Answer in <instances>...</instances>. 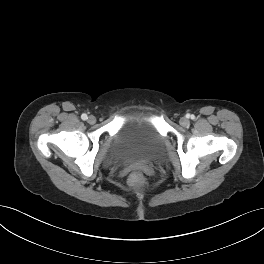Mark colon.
<instances>
[{"label":"colon","mask_w":264,"mask_h":264,"mask_svg":"<svg viewBox=\"0 0 264 264\" xmlns=\"http://www.w3.org/2000/svg\"><path fill=\"white\" fill-rule=\"evenodd\" d=\"M130 182L133 186L137 187H144L147 184L144 176L138 171H135L130 175Z\"/></svg>","instance_id":"5ec220e1"}]
</instances>
